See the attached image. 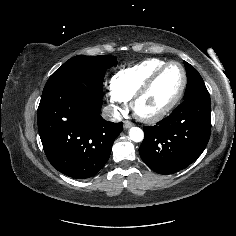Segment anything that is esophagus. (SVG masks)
I'll return each instance as SVG.
<instances>
[{
  "label": "esophagus",
  "instance_id": "1",
  "mask_svg": "<svg viewBox=\"0 0 236 236\" xmlns=\"http://www.w3.org/2000/svg\"><path fill=\"white\" fill-rule=\"evenodd\" d=\"M132 125L133 124L131 122H129V121H124L123 122V126H124L125 129L130 128Z\"/></svg>",
  "mask_w": 236,
  "mask_h": 236
}]
</instances>
